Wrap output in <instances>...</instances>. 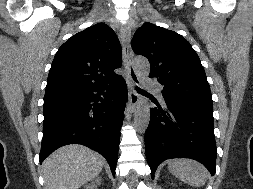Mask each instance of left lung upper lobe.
Wrapping results in <instances>:
<instances>
[{
	"instance_id": "5c2ea615",
	"label": "left lung upper lobe",
	"mask_w": 253,
	"mask_h": 189,
	"mask_svg": "<svg viewBox=\"0 0 253 189\" xmlns=\"http://www.w3.org/2000/svg\"><path fill=\"white\" fill-rule=\"evenodd\" d=\"M132 49L148 58L150 77L164 86L162 94L212 108L206 74L190 43L174 31L144 23L134 34Z\"/></svg>"
}]
</instances>
